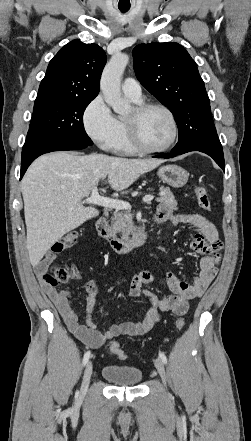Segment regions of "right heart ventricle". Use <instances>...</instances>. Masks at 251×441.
<instances>
[{
  "mask_svg": "<svg viewBox=\"0 0 251 441\" xmlns=\"http://www.w3.org/2000/svg\"><path fill=\"white\" fill-rule=\"evenodd\" d=\"M129 98L136 104L142 103V98L141 99H134L131 97H129ZM117 120H118V125H119V133H118V136L115 139V141L112 144L110 149L116 153H121V154H134V153H136L138 150L132 145V143L129 139L126 124H125V119L120 117V118H117Z\"/></svg>",
  "mask_w": 251,
  "mask_h": 441,
  "instance_id": "obj_1",
  "label": "right heart ventricle"
}]
</instances>
